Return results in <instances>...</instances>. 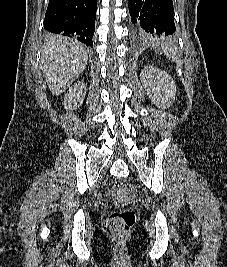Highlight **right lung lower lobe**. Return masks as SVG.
<instances>
[{
	"label": "right lung lower lobe",
	"instance_id": "98d812e1",
	"mask_svg": "<svg viewBox=\"0 0 227 267\" xmlns=\"http://www.w3.org/2000/svg\"><path fill=\"white\" fill-rule=\"evenodd\" d=\"M97 0H49L44 28L93 45Z\"/></svg>",
	"mask_w": 227,
	"mask_h": 267
}]
</instances>
